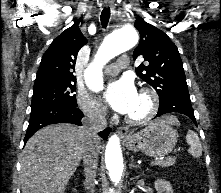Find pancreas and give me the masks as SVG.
<instances>
[{"mask_svg":"<svg viewBox=\"0 0 221 193\" xmlns=\"http://www.w3.org/2000/svg\"><path fill=\"white\" fill-rule=\"evenodd\" d=\"M176 159L175 158H167L159 163H157L156 165H159L161 167H169L172 166L173 164H175Z\"/></svg>","mask_w":221,"mask_h":193,"instance_id":"cf45deb5","label":"pancreas"}]
</instances>
